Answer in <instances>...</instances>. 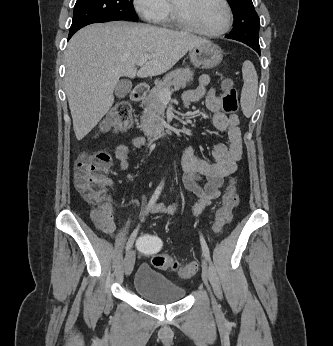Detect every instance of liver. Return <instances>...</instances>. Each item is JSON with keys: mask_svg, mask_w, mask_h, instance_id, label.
<instances>
[{"mask_svg": "<svg viewBox=\"0 0 333 346\" xmlns=\"http://www.w3.org/2000/svg\"><path fill=\"white\" fill-rule=\"evenodd\" d=\"M208 40L147 24H92L79 30L65 51V92L77 140L83 139L114 103L119 78H146L170 70ZM151 58L139 70L136 63Z\"/></svg>", "mask_w": 333, "mask_h": 346, "instance_id": "liver-1", "label": "liver"}]
</instances>
